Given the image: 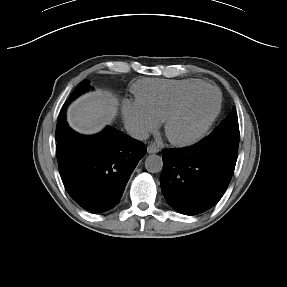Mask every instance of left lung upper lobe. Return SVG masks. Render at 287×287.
I'll return each mask as SVG.
<instances>
[{"label": "left lung upper lobe", "instance_id": "1", "mask_svg": "<svg viewBox=\"0 0 287 287\" xmlns=\"http://www.w3.org/2000/svg\"><path fill=\"white\" fill-rule=\"evenodd\" d=\"M214 142L224 144L230 148L238 149L239 146V126L236 110L224 119L218 127L208 136Z\"/></svg>", "mask_w": 287, "mask_h": 287}]
</instances>
